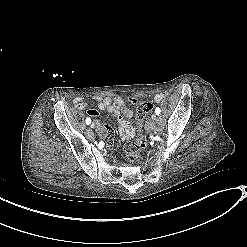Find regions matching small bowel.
<instances>
[{
	"instance_id": "obj_1",
	"label": "small bowel",
	"mask_w": 247,
	"mask_h": 247,
	"mask_svg": "<svg viewBox=\"0 0 247 247\" xmlns=\"http://www.w3.org/2000/svg\"><path fill=\"white\" fill-rule=\"evenodd\" d=\"M166 97L165 93H158L153 97V101L156 103L161 102ZM93 100L98 102V108L101 111H107L113 114L114 118L116 119L119 129H120V137L123 140H128L132 138L135 135V129L128 121V118L132 116V111L126 106L124 100L119 97H102V96H95L93 97ZM128 101L131 104H136L137 99L134 97H129ZM74 104L75 107L78 110H86L89 107V103L83 98V97H76L74 98ZM93 110V109H90ZM88 110L87 113L90 117L96 118L97 116L94 113H90ZM103 126L108 127V129H111V131H108L106 133V141L108 142L106 144V147L108 149H111L113 147V144L111 143L113 139L117 138L118 130L116 126H113V124H109L108 121H103ZM98 134L100 136H103L105 134V130L102 126H99L97 128Z\"/></svg>"
}]
</instances>
